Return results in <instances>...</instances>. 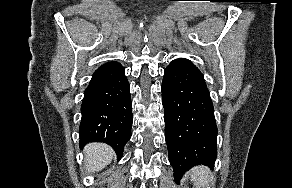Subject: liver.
Returning a JSON list of instances; mask_svg holds the SVG:
<instances>
[{
	"mask_svg": "<svg viewBox=\"0 0 292 188\" xmlns=\"http://www.w3.org/2000/svg\"><path fill=\"white\" fill-rule=\"evenodd\" d=\"M114 156L113 149L103 143H91L85 148V164L88 172H98L107 166Z\"/></svg>",
	"mask_w": 292,
	"mask_h": 188,
	"instance_id": "obj_1",
	"label": "liver"
}]
</instances>
